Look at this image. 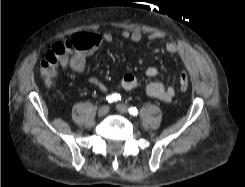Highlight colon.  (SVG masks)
<instances>
[{
	"instance_id": "colon-1",
	"label": "colon",
	"mask_w": 245,
	"mask_h": 187,
	"mask_svg": "<svg viewBox=\"0 0 245 187\" xmlns=\"http://www.w3.org/2000/svg\"><path fill=\"white\" fill-rule=\"evenodd\" d=\"M83 42L77 36L70 40L56 43L52 52L48 53L42 62V76L47 84H51L56 75V67L64 61L73 48L81 47ZM181 90L185 91L190 86V78L186 72H182L179 77Z\"/></svg>"
}]
</instances>
